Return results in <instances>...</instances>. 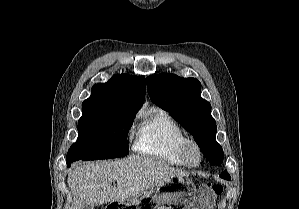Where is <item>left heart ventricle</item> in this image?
<instances>
[{"label":"left heart ventricle","instance_id":"left-heart-ventricle-1","mask_svg":"<svg viewBox=\"0 0 299 209\" xmlns=\"http://www.w3.org/2000/svg\"><path fill=\"white\" fill-rule=\"evenodd\" d=\"M190 160L192 162H196L197 161V154H196L195 150H191V152H190Z\"/></svg>","mask_w":299,"mask_h":209}]
</instances>
